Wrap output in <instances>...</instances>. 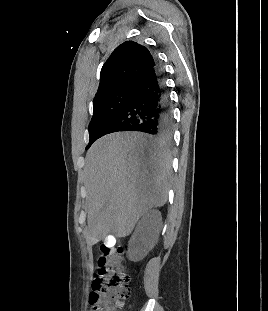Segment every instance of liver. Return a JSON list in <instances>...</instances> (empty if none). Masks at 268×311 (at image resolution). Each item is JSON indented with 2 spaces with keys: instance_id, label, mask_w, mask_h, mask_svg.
Instances as JSON below:
<instances>
[{
  "instance_id": "liver-1",
  "label": "liver",
  "mask_w": 268,
  "mask_h": 311,
  "mask_svg": "<svg viewBox=\"0 0 268 311\" xmlns=\"http://www.w3.org/2000/svg\"><path fill=\"white\" fill-rule=\"evenodd\" d=\"M168 151L135 132L98 139L85 158L84 185L89 245L109 234L126 237L152 207L163 206L171 175Z\"/></svg>"
}]
</instances>
